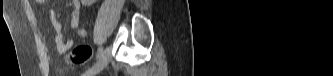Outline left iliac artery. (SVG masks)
I'll return each mask as SVG.
<instances>
[{
	"instance_id": "left-iliac-artery-1",
	"label": "left iliac artery",
	"mask_w": 333,
	"mask_h": 76,
	"mask_svg": "<svg viewBox=\"0 0 333 76\" xmlns=\"http://www.w3.org/2000/svg\"><path fill=\"white\" fill-rule=\"evenodd\" d=\"M102 53H103V48L99 47L98 51H97L96 59L100 58V56L102 55Z\"/></svg>"
}]
</instances>
